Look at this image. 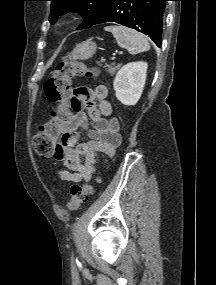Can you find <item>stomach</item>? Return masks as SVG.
I'll return each instance as SVG.
<instances>
[{"label": "stomach", "mask_w": 216, "mask_h": 285, "mask_svg": "<svg viewBox=\"0 0 216 285\" xmlns=\"http://www.w3.org/2000/svg\"><path fill=\"white\" fill-rule=\"evenodd\" d=\"M96 49V43L89 39L76 45L68 57L70 60H88L93 57Z\"/></svg>", "instance_id": "stomach-1"}]
</instances>
